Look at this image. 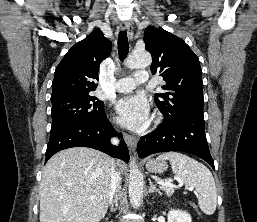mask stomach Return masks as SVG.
<instances>
[{"mask_svg": "<svg viewBox=\"0 0 257 222\" xmlns=\"http://www.w3.org/2000/svg\"><path fill=\"white\" fill-rule=\"evenodd\" d=\"M146 168L151 173H163L167 169V164L161 159H151L147 162Z\"/></svg>", "mask_w": 257, "mask_h": 222, "instance_id": "obj_1", "label": "stomach"}]
</instances>
